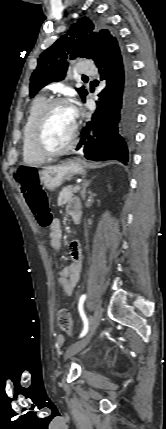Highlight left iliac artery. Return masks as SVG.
Returning <instances> with one entry per match:
<instances>
[{
  "label": "left iliac artery",
  "mask_w": 166,
  "mask_h": 429,
  "mask_svg": "<svg viewBox=\"0 0 166 429\" xmlns=\"http://www.w3.org/2000/svg\"><path fill=\"white\" fill-rule=\"evenodd\" d=\"M85 299H86V295L83 294L80 297L79 304H78L79 313H80V315L82 317V320H83V323H84V328H83V330H82L79 338L84 337L87 334V332H88V319H87V317H86V315L84 313V310H83V304H84Z\"/></svg>",
  "instance_id": "44dca946"
}]
</instances>
